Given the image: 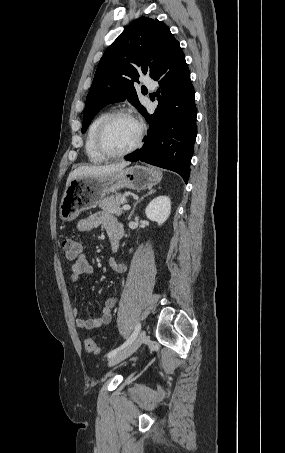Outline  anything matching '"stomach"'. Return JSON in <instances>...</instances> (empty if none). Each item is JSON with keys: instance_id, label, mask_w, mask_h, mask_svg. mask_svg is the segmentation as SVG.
<instances>
[{"instance_id": "0dacf381", "label": "stomach", "mask_w": 285, "mask_h": 453, "mask_svg": "<svg viewBox=\"0 0 285 453\" xmlns=\"http://www.w3.org/2000/svg\"><path fill=\"white\" fill-rule=\"evenodd\" d=\"M162 179V172L140 165L123 168L99 176L73 179L67 186L59 206L63 221H73L85 210L95 208L110 193L122 188L141 191L150 189Z\"/></svg>"}]
</instances>
